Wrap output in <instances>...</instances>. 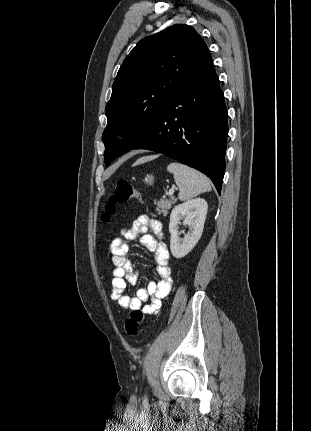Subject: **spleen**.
I'll return each mask as SVG.
<instances>
[{
	"label": "spleen",
	"instance_id": "1",
	"mask_svg": "<svg viewBox=\"0 0 311 431\" xmlns=\"http://www.w3.org/2000/svg\"><path fill=\"white\" fill-rule=\"evenodd\" d=\"M167 170L173 174L174 182L180 190L178 198L181 202L192 200L195 196L211 190L208 178L193 168L173 162V164H169Z\"/></svg>",
	"mask_w": 311,
	"mask_h": 431
}]
</instances>
